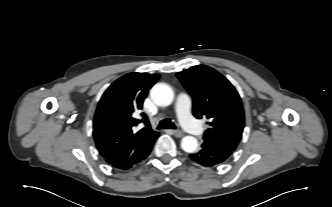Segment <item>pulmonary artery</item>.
<instances>
[{
    "mask_svg": "<svg viewBox=\"0 0 332 207\" xmlns=\"http://www.w3.org/2000/svg\"><path fill=\"white\" fill-rule=\"evenodd\" d=\"M191 99L186 93H179L176 98L175 112L180 124L193 134H201L203 129L191 118Z\"/></svg>",
    "mask_w": 332,
    "mask_h": 207,
    "instance_id": "1",
    "label": "pulmonary artery"
}]
</instances>
